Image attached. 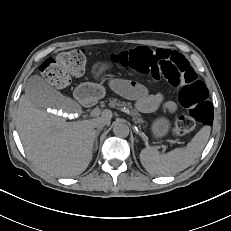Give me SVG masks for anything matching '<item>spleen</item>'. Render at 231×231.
I'll use <instances>...</instances> for the list:
<instances>
[{"label":"spleen","instance_id":"obj_1","mask_svg":"<svg viewBox=\"0 0 231 231\" xmlns=\"http://www.w3.org/2000/svg\"><path fill=\"white\" fill-rule=\"evenodd\" d=\"M210 131L209 126H204L185 147L176 148L167 154H159L153 148H145L140 153L141 164L152 175L169 176L181 172L200 156Z\"/></svg>","mask_w":231,"mask_h":231}]
</instances>
